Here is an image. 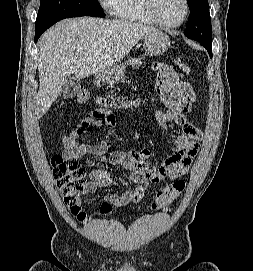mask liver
I'll return each instance as SVG.
<instances>
[{
  "instance_id": "1",
  "label": "liver",
  "mask_w": 253,
  "mask_h": 271,
  "mask_svg": "<svg viewBox=\"0 0 253 271\" xmlns=\"http://www.w3.org/2000/svg\"><path fill=\"white\" fill-rule=\"evenodd\" d=\"M154 27L127 20L94 17L65 19L38 41L39 91L36 115L41 118L71 76L84 79L114 66ZM102 49L100 54H96Z\"/></svg>"
}]
</instances>
